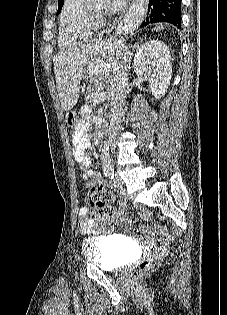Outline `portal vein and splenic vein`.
<instances>
[{
    "mask_svg": "<svg viewBox=\"0 0 227 315\" xmlns=\"http://www.w3.org/2000/svg\"><path fill=\"white\" fill-rule=\"evenodd\" d=\"M105 92H94L93 96L99 100H101L104 96Z\"/></svg>",
    "mask_w": 227,
    "mask_h": 315,
    "instance_id": "1",
    "label": "portal vein and splenic vein"
}]
</instances>
